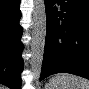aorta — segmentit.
Returning <instances> with one entry per match:
<instances>
[{
  "mask_svg": "<svg viewBox=\"0 0 89 89\" xmlns=\"http://www.w3.org/2000/svg\"><path fill=\"white\" fill-rule=\"evenodd\" d=\"M32 19L30 66L34 79L38 80L43 63L46 39V10L44 0H34Z\"/></svg>",
  "mask_w": 89,
  "mask_h": 89,
  "instance_id": "1",
  "label": "aorta"
}]
</instances>
